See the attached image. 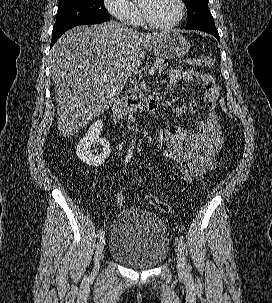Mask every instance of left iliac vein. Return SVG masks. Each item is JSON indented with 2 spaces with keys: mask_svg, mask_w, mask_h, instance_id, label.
<instances>
[{
  "mask_svg": "<svg viewBox=\"0 0 272 303\" xmlns=\"http://www.w3.org/2000/svg\"><path fill=\"white\" fill-rule=\"evenodd\" d=\"M177 252V269L180 276H186L188 274L187 260L182 248L178 245Z\"/></svg>",
  "mask_w": 272,
  "mask_h": 303,
  "instance_id": "1",
  "label": "left iliac vein"
}]
</instances>
